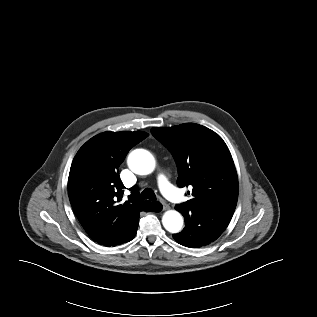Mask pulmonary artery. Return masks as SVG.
Here are the masks:
<instances>
[{
	"label": "pulmonary artery",
	"mask_w": 317,
	"mask_h": 317,
	"mask_svg": "<svg viewBox=\"0 0 317 317\" xmlns=\"http://www.w3.org/2000/svg\"><path fill=\"white\" fill-rule=\"evenodd\" d=\"M158 185L165 197L172 201H181L183 199L179 191L170 183L167 177L163 174H160L157 178Z\"/></svg>",
	"instance_id": "1"
}]
</instances>
